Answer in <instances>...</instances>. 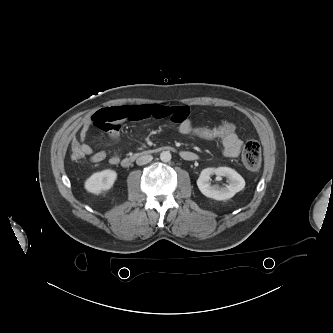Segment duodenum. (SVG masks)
<instances>
[{"label":"duodenum","mask_w":333,"mask_h":333,"mask_svg":"<svg viewBox=\"0 0 333 333\" xmlns=\"http://www.w3.org/2000/svg\"><path fill=\"white\" fill-rule=\"evenodd\" d=\"M163 148H157V149H149V150H144L141 152H137L131 155L126 156L125 158H123V160L121 161V165L123 167H129L132 165V163L137 159V157L139 156H143V155H149V154H153L157 151H160ZM183 158H187V159H196V155L195 154H189V153H181Z\"/></svg>","instance_id":"duodenum-1"}]
</instances>
